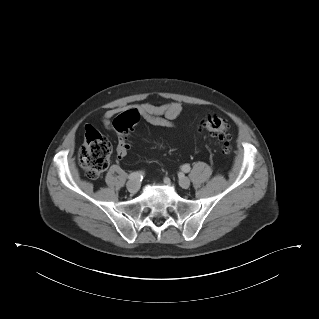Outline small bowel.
Listing matches in <instances>:
<instances>
[{"instance_id":"small-bowel-1","label":"small bowel","mask_w":319,"mask_h":319,"mask_svg":"<svg viewBox=\"0 0 319 319\" xmlns=\"http://www.w3.org/2000/svg\"><path fill=\"white\" fill-rule=\"evenodd\" d=\"M138 111L143 118L153 126L164 128H175L174 120L182 113L183 107L178 102H169L161 105H155L149 102L137 106ZM116 110H109L103 116V124L106 129L112 130V117ZM129 144L127 140L118 139L117 153L119 156H125L128 152Z\"/></svg>"}]
</instances>
